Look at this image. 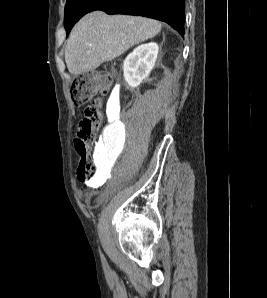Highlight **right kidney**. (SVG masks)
I'll list each match as a JSON object with an SVG mask.
<instances>
[{
  "instance_id": "obj_1",
  "label": "right kidney",
  "mask_w": 267,
  "mask_h": 298,
  "mask_svg": "<svg viewBox=\"0 0 267 298\" xmlns=\"http://www.w3.org/2000/svg\"><path fill=\"white\" fill-rule=\"evenodd\" d=\"M159 47L151 42L136 47L124 60V79L131 88H135L148 77L153 69Z\"/></svg>"
}]
</instances>
